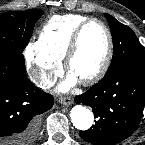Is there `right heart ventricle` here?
<instances>
[{"instance_id": "1", "label": "right heart ventricle", "mask_w": 145, "mask_h": 145, "mask_svg": "<svg viewBox=\"0 0 145 145\" xmlns=\"http://www.w3.org/2000/svg\"><path fill=\"white\" fill-rule=\"evenodd\" d=\"M88 18L78 14L51 17L40 30L38 44L45 52L62 60L74 31Z\"/></svg>"}]
</instances>
